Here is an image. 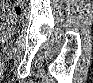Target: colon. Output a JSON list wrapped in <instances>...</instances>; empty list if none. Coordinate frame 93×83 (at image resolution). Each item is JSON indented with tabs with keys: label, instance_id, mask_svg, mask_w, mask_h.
<instances>
[{
	"label": "colon",
	"instance_id": "1",
	"mask_svg": "<svg viewBox=\"0 0 93 83\" xmlns=\"http://www.w3.org/2000/svg\"><path fill=\"white\" fill-rule=\"evenodd\" d=\"M24 2L22 1H13V2H4L2 6V14L5 15L7 13L14 14L16 13Z\"/></svg>",
	"mask_w": 93,
	"mask_h": 83
}]
</instances>
